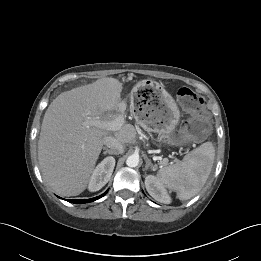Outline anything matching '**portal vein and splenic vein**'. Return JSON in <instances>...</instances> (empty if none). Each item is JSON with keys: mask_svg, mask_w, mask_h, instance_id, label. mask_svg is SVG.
Here are the masks:
<instances>
[{"mask_svg": "<svg viewBox=\"0 0 261 261\" xmlns=\"http://www.w3.org/2000/svg\"><path fill=\"white\" fill-rule=\"evenodd\" d=\"M119 110L122 112L124 110L122 103L119 104ZM124 124L123 115L119 116L117 119L107 122L96 121L94 125L103 128L108 131H118Z\"/></svg>", "mask_w": 261, "mask_h": 261, "instance_id": "18ae733b", "label": "portal vein and splenic vein"}]
</instances>
